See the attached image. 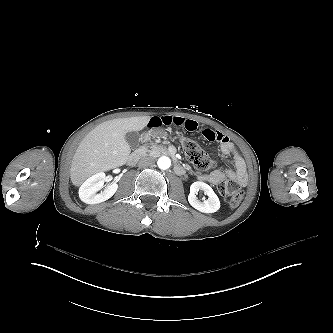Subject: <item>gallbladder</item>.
I'll return each mask as SVG.
<instances>
[{"label": "gallbladder", "instance_id": "1", "mask_svg": "<svg viewBox=\"0 0 333 333\" xmlns=\"http://www.w3.org/2000/svg\"><path fill=\"white\" fill-rule=\"evenodd\" d=\"M125 138H126L127 143L129 144V146L131 147V149H136L139 146V142L141 139V136L139 133H137V132L127 133Z\"/></svg>", "mask_w": 333, "mask_h": 333}]
</instances>
